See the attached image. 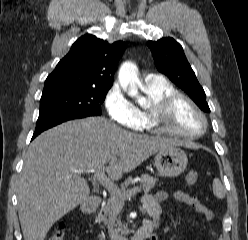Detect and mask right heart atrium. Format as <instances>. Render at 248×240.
I'll return each mask as SVG.
<instances>
[{
	"instance_id": "obj_1",
	"label": "right heart atrium",
	"mask_w": 248,
	"mask_h": 240,
	"mask_svg": "<svg viewBox=\"0 0 248 240\" xmlns=\"http://www.w3.org/2000/svg\"><path fill=\"white\" fill-rule=\"evenodd\" d=\"M104 105L109 117L130 130L140 128V117L132 102L125 96L121 86L114 83L107 91Z\"/></svg>"
}]
</instances>
